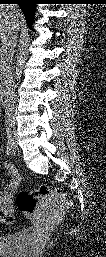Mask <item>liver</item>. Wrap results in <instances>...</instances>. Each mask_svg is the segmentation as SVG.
<instances>
[{
	"mask_svg": "<svg viewBox=\"0 0 106 257\" xmlns=\"http://www.w3.org/2000/svg\"><path fill=\"white\" fill-rule=\"evenodd\" d=\"M23 23V15L15 5H1L0 7V38L5 42L12 26L19 27Z\"/></svg>",
	"mask_w": 106,
	"mask_h": 257,
	"instance_id": "obj_1",
	"label": "liver"
}]
</instances>
